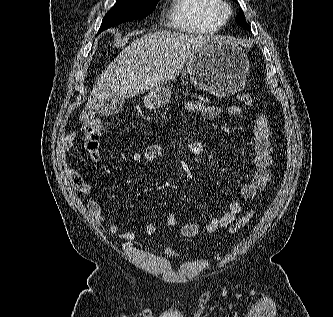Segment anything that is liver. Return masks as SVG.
Here are the masks:
<instances>
[{
	"instance_id": "1",
	"label": "liver",
	"mask_w": 333,
	"mask_h": 317,
	"mask_svg": "<svg viewBox=\"0 0 333 317\" xmlns=\"http://www.w3.org/2000/svg\"><path fill=\"white\" fill-rule=\"evenodd\" d=\"M214 38L157 31L133 41L98 78L80 121L88 124L110 97L131 98L174 80L203 44Z\"/></svg>"
}]
</instances>
